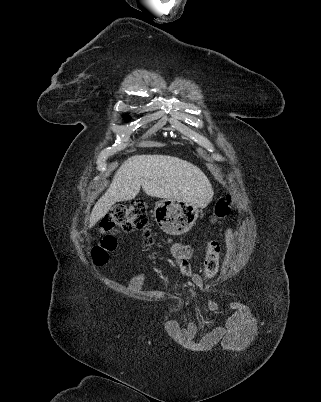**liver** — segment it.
I'll return each instance as SVG.
<instances>
[{
    "label": "liver",
    "instance_id": "obj_1",
    "mask_svg": "<svg viewBox=\"0 0 321 402\" xmlns=\"http://www.w3.org/2000/svg\"><path fill=\"white\" fill-rule=\"evenodd\" d=\"M141 187L149 196L181 200L201 208L210 203L214 194L207 176L188 161L166 155H135L121 165L94 205L89 227L116 202L134 199Z\"/></svg>",
    "mask_w": 321,
    "mask_h": 402
}]
</instances>
